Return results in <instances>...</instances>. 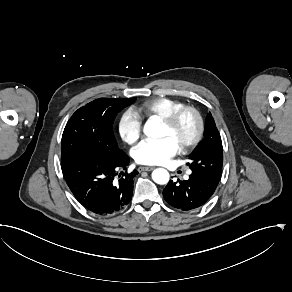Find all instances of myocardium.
I'll return each mask as SVG.
<instances>
[{
	"instance_id": "f54148a6",
	"label": "myocardium",
	"mask_w": 292,
	"mask_h": 292,
	"mask_svg": "<svg viewBox=\"0 0 292 292\" xmlns=\"http://www.w3.org/2000/svg\"><path fill=\"white\" fill-rule=\"evenodd\" d=\"M185 114H191L193 116L195 120V128L189 139L181 140L179 142L180 147L184 150L196 146L202 138L204 122L201 113L193 106L182 105L173 110L168 116L162 118L163 123L173 131Z\"/></svg>"
}]
</instances>
